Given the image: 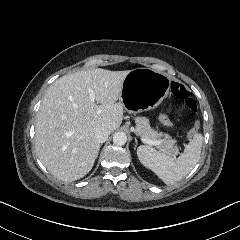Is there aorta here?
Listing matches in <instances>:
<instances>
[{"instance_id": "762f6f07", "label": "aorta", "mask_w": 240, "mask_h": 240, "mask_svg": "<svg viewBox=\"0 0 240 240\" xmlns=\"http://www.w3.org/2000/svg\"><path fill=\"white\" fill-rule=\"evenodd\" d=\"M127 142V135L125 132L118 131L114 133L113 143L115 145H124Z\"/></svg>"}]
</instances>
